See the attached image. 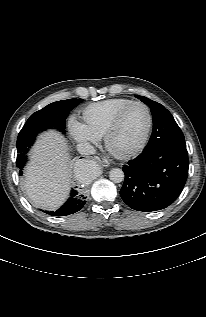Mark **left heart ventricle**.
I'll return each instance as SVG.
<instances>
[{
    "mask_svg": "<svg viewBox=\"0 0 206 317\" xmlns=\"http://www.w3.org/2000/svg\"><path fill=\"white\" fill-rule=\"evenodd\" d=\"M147 127V114L144 107L133 106L124 115L119 127L111 138L116 151L124 152L135 148L142 140Z\"/></svg>",
    "mask_w": 206,
    "mask_h": 317,
    "instance_id": "b2bd125f",
    "label": "left heart ventricle"
}]
</instances>
